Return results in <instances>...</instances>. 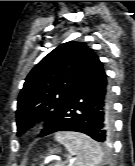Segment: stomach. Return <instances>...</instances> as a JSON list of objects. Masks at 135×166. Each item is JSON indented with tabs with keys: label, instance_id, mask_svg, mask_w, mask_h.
Segmentation results:
<instances>
[{
	"label": "stomach",
	"instance_id": "stomach-1",
	"mask_svg": "<svg viewBox=\"0 0 135 166\" xmlns=\"http://www.w3.org/2000/svg\"><path fill=\"white\" fill-rule=\"evenodd\" d=\"M56 152H57V150H52V151H51V153H56Z\"/></svg>",
	"mask_w": 135,
	"mask_h": 166
}]
</instances>
